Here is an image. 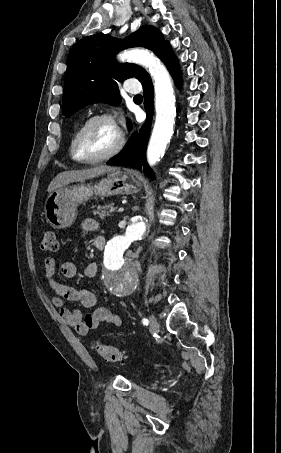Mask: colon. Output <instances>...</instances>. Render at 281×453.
Returning a JSON list of instances; mask_svg holds the SVG:
<instances>
[{
  "label": "colon",
  "mask_w": 281,
  "mask_h": 453,
  "mask_svg": "<svg viewBox=\"0 0 281 453\" xmlns=\"http://www.w3.org/2000/svg\"><path fill=\"white\" fill-rule=\"evenodd\" d=\"M40 248L43 252L58 251V232L55 230H47L41 242ZM95 351L99 358L105 363H121L123 362L122 352L114 347L104 344H96Z\"/></svg>",
  "instance_id": "colon-1"
}]
</instances>
